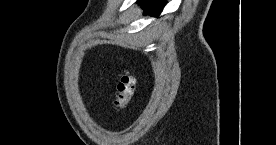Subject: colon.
Returning a JSON list of instances; mask_svg holds the SVG:
<instances>
[{
	"label": "colon",
	"instance_id": "1",
	"mask_svg": "<svg viewBox=\"0 0 276 145\" xmlns=\"http://www.w3.org/2000/svg\"><path fill=\"white\" fill-rule=\"evenodd\" d=\"M136 79L131 73H124L117 85L114 107L117 111H123L128 106L135 93Z\"/></svg>",
	"mask_w": 276,
	"mask_h": 145
}]
</instances>
